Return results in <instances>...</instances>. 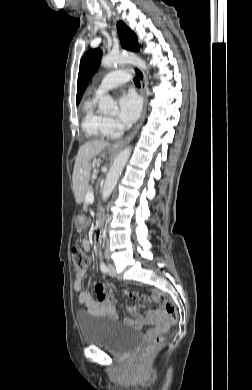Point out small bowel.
<instances>
[{"label": "small bowel", "mask_w": 252, "mask_h": 390, "mask_svg": "<svg viewBox=\"0 0 252 390\" xmlns=\"http://www.w3.org/2000/svg\"><path fill=\"white\" fill-rule=\"evenodd\" d=\"M82 246L85 250H89V240L83 239ZM86 275L85 269L76 273L73 282V289L79 293V303L84 305L92 315L118 320L115 301L102 285L96 287V297H93L90 292L82 290ZM128 310L130 316L123 319L124 324L136 329H142L150 324L152 327L148 331L149 335L162 333L169 326L167 318L160 308L145 309L143 313L131 306L128 307Z\"/></svg>", "instance_id": "1"}]
</instances>
